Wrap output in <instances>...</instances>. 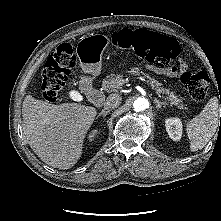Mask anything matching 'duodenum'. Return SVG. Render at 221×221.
Returning <instances> with one entry per match:
<instances>
[{
    "instance_id": "410a0bca",
    "label": "duodenum",
    "mask_w": 221,
    "mask_h": 221,
    "mask_svg": "<svg viewBox=\"0 0 221 221\" xmlns=\"http://www.w3.org/2000/svg\"><path fill=\"white\" fill-rule=\"evenodd\" d=\"M84 93L93 104L101 105L103 103L104 94L101 89L95 87L85 88Z\"/></svg>"
}]
</instances>
